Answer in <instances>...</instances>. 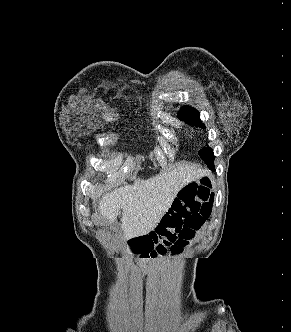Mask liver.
Here are the masks:
<instances>
[{
	"mask_svg": "<svg viewBox=\"0 0 291 332\" xmlns=\"http://www.w3.org/2000/svg\"><path fill=\"white\" fill-rule=\"evenodd\" d=\"M206 171L195 164L182 163L161 171L148 180L120 187L100 200L98 210L111 224L122 209L121 228L125 238L145 235L159 224L179 191L197 181Z\"/></svg>",
	"mask_w": 291,
	"mask_h": 332,
	"instance_id": "obj_1",
	"label": "liver"
}]
</instances>
